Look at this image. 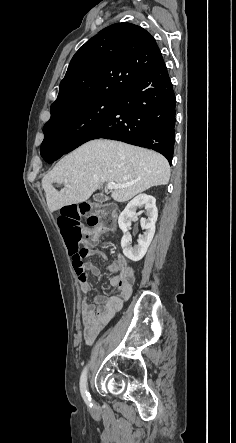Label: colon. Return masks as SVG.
<instances>
[{"label": "colon", "instance_id": "5ec220e1", "mask_svg": "<svg viewBox=\"0 0 236 443\" xmlns=\"http://www.w3.org/2000/svg\"><path fill=\"white\" fill-rule=\"evenodd\" d=\"M86 218L87 224L99 233L111 232L116 225V211L110 205L92 202L68 204L61 207L58 226L64 238L74 268H82L84 260L90 256V248L81 244L90 238V234L80 226V220Z\"/></svg>", "mask_w": 236, "mask_h": 443}]
</instances>
